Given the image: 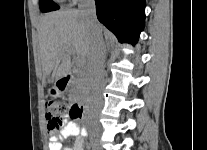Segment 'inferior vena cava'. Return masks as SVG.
I'll return each mask as SVG.
<instances>
[{"label": "inferior vena cava", "instance_id": "obj_1", "mask_svg": "<svg viewBox=\"0 0 207 150\" xmlns=\"http://www.w3.org/2000/svg\"><path fill=\"white\" fill-rule=\"evenodd\" d=\"M78 8L92 32L87 67L93 99L98 105H101L102 90L105 85L103 38L96 17L95 1L79 0Z\"/></svg>", "mask_w": 207, "mask_h": 150}]
</instances>
